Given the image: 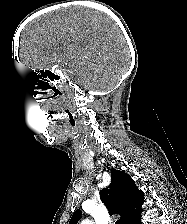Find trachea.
<instances>
[{
    "label": "trachea",
    "mask_w": 187,
    "mask_h": 224,
    "mask_svg": "<svg viewBox=\"0 0 187 224\" xmlns=\"http://www.w3.org/2000/svg\"><path fill=\"white\" fill-rule=\"evenodd\" d=\"M116 224H120V221H116Z\"/></svg>",
    "instance_id": "trachea-1"
}]
</instances>
